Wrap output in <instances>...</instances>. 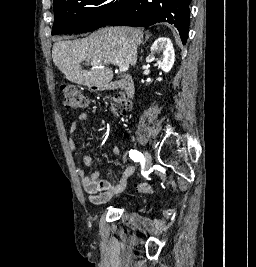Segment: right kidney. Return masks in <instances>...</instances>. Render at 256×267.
<instances>
[{
	"label": "right kidney",
	"instance_id": "right-kidney-1",
	"mask_svg": "<svg viewBox=\"0 0 256 267\" xmlns=\"http://www.w3.org/2000/svg\"><path fill=\"white\" fill-rule=\"evenodd\" d=\"M150 52L148 60H153L156 52H163L162 58H158L157 64L163 72H170L175 62L174 48L171 40L169 38H157L154 44H152Z\"/></svg>",
	"mask_w": 256,
	"mask_h": 267
}]
</instances>
